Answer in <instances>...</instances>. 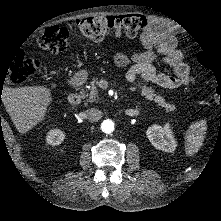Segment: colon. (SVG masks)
Returning a JSON list of instances; mask_svg holds the SVG:
<instances>
[{
	"instance_id": "1",
	"label": "colon",
	"mask_w": 221,
	"mask_h": 221,
	"mask_svg": "<svg viewBox=\"0 0 221 221\" xmlns=\"http://www.w3.org/2000/svg\"><path fill=\"white\" fill-rule=\"evenodd\" d=\"M76 29L94 42L103 41L111 36H137L150 26V22L142 15L123 16H92L75 22ZM68 26L51 27L46 29L38 38L37 45L58 54L68 46ZM197 63L208 69V61L204 56L197 57ZM42 71L39 61L35 58L18 57L9 68L10 84H21Z\"/></svg>"
}]
</instances>
